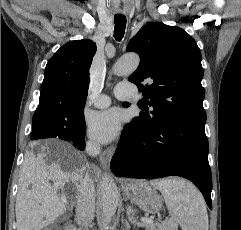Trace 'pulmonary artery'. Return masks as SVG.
<instances>
[{"label": "pulmonary artery", "instance_id": "e3ab8cb5", "mask_svg": "<svg viewBox=\"0 0 241 230\" xmlns=\"http://www.w3.org/2000/svg\"><path fill=\"white\" fill-rule=\"evenodd\" d=\"M115 96L122 100H135L137 98L136 87L132 83H119L115 88ZM110 105V98L107 95H100L94 100L97 108H106Z\"/></svg>", "mask_w": 241, "mask_h": 230}]
</instances>
